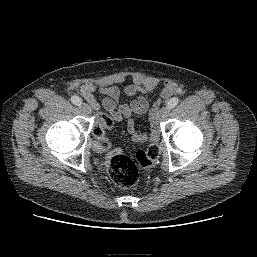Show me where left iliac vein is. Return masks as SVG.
Here are the masks:
<instances>
[{
	"label": "left iliac vein",
	"mask_w": 257,
	"mask_h": 257,
	"mask_svg": "<svg viewBox=\"0 0 257 257\" xmlns=\"http://www.w3.org/2000/svg\"><path fill=\"white\" fill-rule=\"evenodd\" d=\"M168 114H169V108L163 107L158 114V118L163 120L168 116Z\"/></svg>",
	"instance_id": "left-iliac-vein-1"
}]
</instances>
